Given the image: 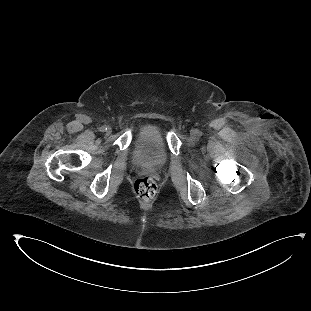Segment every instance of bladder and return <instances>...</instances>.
I'll return each mask as SVG.
<instances>
[{"mask_svg":"<svg viewBox=\"0 0 311 311\" xmlns=\"http://www.w3.org/2000/svg\"><path fill=\"white\" fill-rule=\"evenodd\" d=\"M132 163L147 170L161 169L170 161V149L165 132L149 125L139 134L131 153Z\"/></svg>","mask_w":311,"mask_h":311,"instance_id":"31cf9c89","label":"bladder"}]
</instances>
